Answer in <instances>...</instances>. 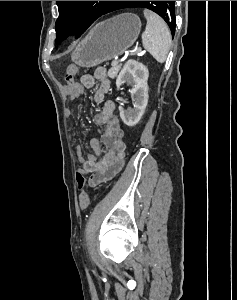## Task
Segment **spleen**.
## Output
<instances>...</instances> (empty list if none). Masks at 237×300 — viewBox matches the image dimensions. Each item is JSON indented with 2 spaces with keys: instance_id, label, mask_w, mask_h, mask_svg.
<instances>
[{
  "instance_id": "3e777b00",
  "label": "spleen",
  "mask_w": 237,
  "mask_h": 300,
  "mask_svg": "<svg viewBox=\"0 0 237 300\" xmlns=\"http://www.w3.org/2000/svg\"><path fill=\"white\" fill-rule=\"evenodd\" d=\"M143 13L147 21L145 31L142 33L143 47L158 63H164L171 45L170 31L159 15L148 9Z\"/></svg>"
}]
</instances>
